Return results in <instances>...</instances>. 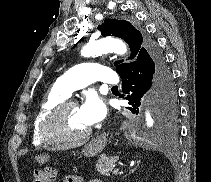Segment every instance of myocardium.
<instances>
[{"label": "myocardium", "mask_w": 211, "mask_h": 182, "mask_svg": "<svg viewBox=\"0 0 211 182\" xmlns=\"http://www.w3.org/2000/svg\"><path fill=\"white\" fill-rule=\"evenodd\" d=\"M70 106H77L70 100H64L56 105L44 119L40 135L46 143H76L85 141L91 134L92 129L89 127L80 135L72 136L62 133L60 122L66 109Z\"/></svg>", "instance_id": "myocardium-1"}]
</instances>
